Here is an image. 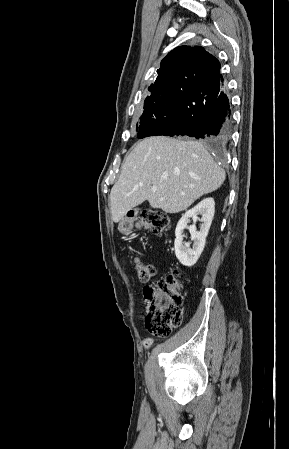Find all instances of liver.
Listing matches in <instances>:
<instances>
[{
	"instance_id": "1",
	"label": "liver",
	"mask_w": 289,
	"mask_h": 449,
	"mask_svg": "<svg viewBox=\"0 0 289 449\" xmlns=\"http://www.w3.org/2000/svg\"><path fill=\"white\" fill-rule=\"evenodd\" d=\"M225 171L198 141L154 136L137 143L110 193L112 220L148 201L167 213L186 210L204 194L221 187ZM157 187L152 191V186Z\"/></svg>"
}]
</instances>
